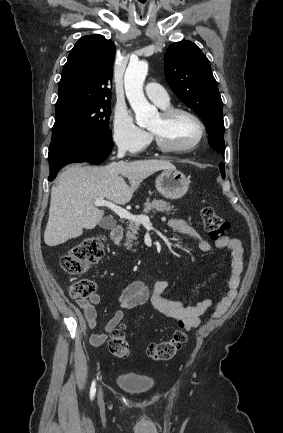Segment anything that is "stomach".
<instances>
[{
    "label": "stomach",
    "mask_w": 283,
    "mask_h": 433,
    "mask_svg": "<svg viewBox=\"0 0 283 433\" xmlns=\"http://www.w3.org/2000/svg\"><path fill=\"white\" fill-rule=\"evenodd\" d=\"M155 186L165 198L176 200V198H181L186 194L189 188V180L183 172L169 168V170H164L157 176Z\"/></svg>",
    "instance_id": "1"
}]
</instances>
